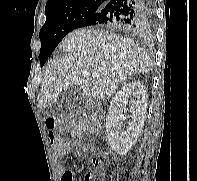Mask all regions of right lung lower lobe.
I'll return each instance as SVG.
<instances>
[{
    "mask_svg": "<svg viewBox=\"0 0 197 181\" xmlns=\"http://www.w3.org/2000/svg\"><path fill=\"white\" fill-rule=\"evenodd\" d=\"M154 15V0H109L87 18L81 27L103 25L125 31H138Z\"/></svg>",
    "mask_w": 197,
    "mask_h": 181,
    "instance_id": "98d812e1",
    "label": "right lung lower lobe"
}]
</instances>
